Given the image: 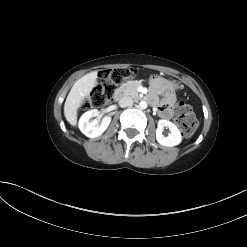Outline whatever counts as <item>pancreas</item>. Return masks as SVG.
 Listing matches in <instances>:
<instances>
[{"label":"pancreas","mask_w":247,"mask_h":247,"mask_svg":"<svg viewBox=\"0 0 247 247\" xmlns=\"http://www.w3.org/2000/svg\"><path fill=\"white\" fill-rule=\"evenodd\" d=\"M140 82H135V81H131L128 82L126 84H123L121 87L124 91V95H130L134 98H138L139 97V92L137 90L138 86L140 85Z\"/></svg>","instance_id":"obj_1"}]
</instances>
